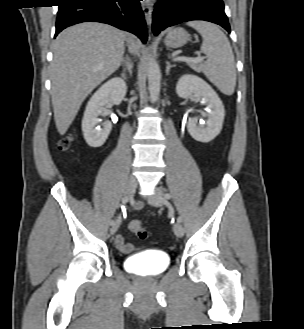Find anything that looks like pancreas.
Instances as JSON below:
<instances>
[{"instance_id": "pancreas-1", "label": "pancreas", "mask_w": 304, "mask_h": 329, "mask_svg": "<svg viewBox=\"0 0 304 329\" xmlns=\"http://www.w3.org/2000/svg\"><path fill=\"white\" fill-rule=\"evenodd\" d=\"M187 64H188V66H189L190 68H192L194 71L199 72L200 69H201V67H200V65H199L198 63L187 62Z\"/></svg>"}]
</instances>
